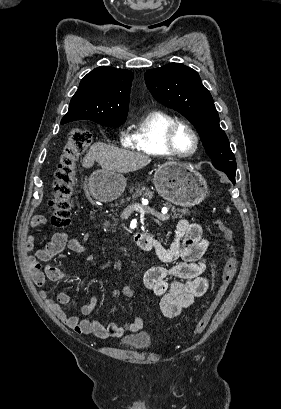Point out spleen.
Returning a JSON list of instances; mask_svg holds the SVG:
<instances>
[{
  "label": "spleen",
  "mask_w": 281,
  "mask_h": 409,
  "mask_svg": "<svg viewBox=\"0 0 281 409\" xmlns=\"http://www.w3.org/2000/svg\"><path fill=\"white\" fill-rule=\"evenodd\" d=\"M227 213H230V209H226Z\"/></svg>",
  "instance_id": "obj_1"
}]
</instances>
